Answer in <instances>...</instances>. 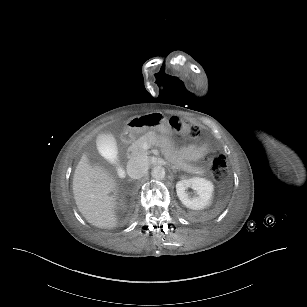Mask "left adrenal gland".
Listing matches in <instances>:
<instances>
[{
	"label": "left adrenal gland",
	"mask_w": 307,
	"mask_h": 307,
	"mask_svg": "<svg viewBox=\"0 0 307 307\" xmlns=\"http://www.w3.org/2000/svg\"><path fill=\"white\" fill-rule=\"evenodd\" d=\"M173 173H175V174H176V173H177V170H176V169H174V170H173Z\"/></svg>",
	"instance_id": "a2214340"
}]
</instances>
